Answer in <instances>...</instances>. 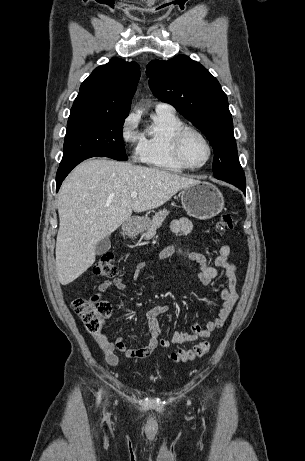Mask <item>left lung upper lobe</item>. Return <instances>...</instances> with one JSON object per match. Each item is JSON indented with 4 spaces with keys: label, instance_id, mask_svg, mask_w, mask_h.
Masks as SVG:
<instances>
[{
    "label": "left lung upper lobe",
    "instance_id": "left-lung-upper-lobe-1",
    "mask_svg": "<svg viewBox=\"0 0 305 461\" xmlns=\"http://www.w3.org/2000/svg\"><path fill=\"white\" fill-rule=\"evenodd\" d=\"M146 74L153 94L174 106L211 143L215 178L245 185L227 96L217 79L184 55L168 61L153 60L147 65Z\"/></svg>",
    "mask_w": 305,
    "mask_h": 461
}]
</instances>
